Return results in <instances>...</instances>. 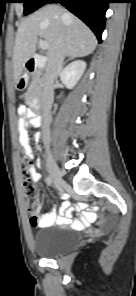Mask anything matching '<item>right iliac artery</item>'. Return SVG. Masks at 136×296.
<instances>
[{"label": "right iliac artery", "mask_w": 136, "mask_h": 296, "mask_svg": "<svg viewBox=\"0 0 136 296\" xmlns=\"http://www.w3.org/2000/svg\"><path fill=\"white\" fill-rule=\"evenodd\" d=\"M47 184L48 185H51L52 184V180H51L50 176L47 177Z\"/></svg>", "instance_id": "1"}]
</instances>
